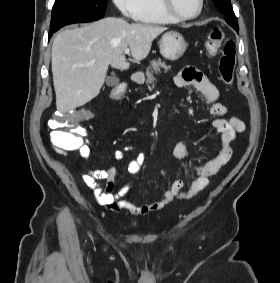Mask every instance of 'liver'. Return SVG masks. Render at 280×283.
<instances>
[{"instance_id": "6515ba94", "label": "liver", "mask_w": 280, "mask_h": 283, "mask_svg": "<svg viewBox=\"0 0 280 283\" xmlns=\"http://www.w3.org/2000/svg\"><path fill=\"white\" fill-rule=\"evenodd\" d=\"M166 27L133 23L107 17L89 25L61 31L51 52L56 107L66 113L95 98L102 88L109 65L126 70L123 55L130 47L134 61L145 59L152 42Z\"/></svg>"}]
</instances>
